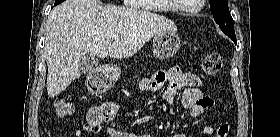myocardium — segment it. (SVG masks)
<instances>
[{
    "label": "myocardium",
    "mask_w": 280,
    "mask_h": 137,
    "mask_svg": "<svg viewBox=\"0 0 280 137\" xmlns=\"http://www.w3.org/2000/svg\"><path fill=\"white\" fill-rule=\"evenodd\" d=\"M198 2H200L199 7L193 9H179L178 6H172V8L176 11H182L186 13H198L202 10L204 0H198Z\"/></svg>",
    "instance_id": "1"
}]
</instances>
